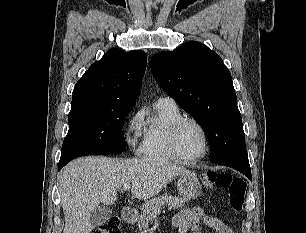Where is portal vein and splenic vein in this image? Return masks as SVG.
I'll return each mask as SVG.
<instances>
[{"label":"portal vein and splenic vein","instance_id":"1","mask_svg":"<svg viewBox=\"0 0 306 233\" xmlns=\"http://www.w3.org/2000/svg\"><path fill=\"white\" fill-rule=\"evenodd\" d=\"M130 187H131L130 184L123 185V189L126 190V191L129 190Z\"/></svg>","mask_w":306,"mask_h":233}]
</instances>
